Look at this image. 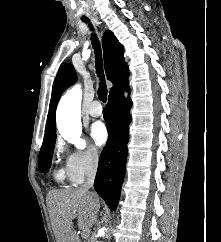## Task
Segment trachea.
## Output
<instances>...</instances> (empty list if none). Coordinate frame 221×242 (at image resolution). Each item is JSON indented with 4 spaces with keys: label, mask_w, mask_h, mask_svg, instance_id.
I'll return each mask as SVG.
<instances>
[{
    "label": "trachea",
    "mask_w": 221,
    "mask_h": 242,
    "mask_svg": "<svg viewBox=\"0 0 221 242\" xmlns=\"http://www.w3.org/2000/svg\"><path fill=\"white\" fill-rule=\"evenodd\" d=\"M84 22H88V19H83ZM93 29V28H92ZM92 44H93V48H94V52H95V62H96V73L98 75V77L102 80L100 82L97 94L99 99L102 102H106L107 100V87L106 84L104 82V73H103V66H102V53H101V48H100V43L97 39V36L93 33L92 34Z\"/></svg>",
    "instance_id": "trachea-1"
}]
</instances>
